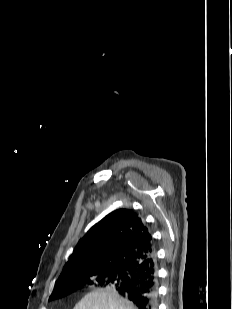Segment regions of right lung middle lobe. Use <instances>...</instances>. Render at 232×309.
Wrapping results in <instances>:
<instances>
[{"instance_id": "obj_1", "label": "right lung middle lobe", "mask_w": 232, "mask_h": 309, "mask_svg": "<svg viewBox=\"0 0 232 309\" xmlns=\"http://www.w3.org/2000/svg\"><path fill=\"white\" fill-rule=\"evenodd\" d=\"M129 275L127 272L114 271V270H93L82 273L76 276L74 279L64 281L59 285L56 284L52 299H58L66 296L84 286H111L116 288L122 284L127 283Z\"/></svg>"}]
</instances>
